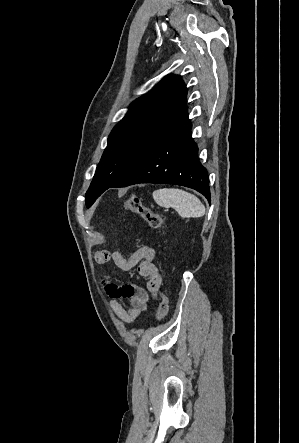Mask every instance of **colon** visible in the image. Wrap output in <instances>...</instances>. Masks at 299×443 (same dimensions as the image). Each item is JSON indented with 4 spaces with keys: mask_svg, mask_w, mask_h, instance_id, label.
Listing matches in <instances>:
<instances>
[{
    "mask_svg": "<svg viewBox=\"0 0 299 443\" xmlns=\"http://www.w3.org/2000/svg\"><path fill=\"white\" fill-rule=\"evenodd\" d=\"M121 208L132 214H135L145 220L151 228L160 229L164 227V221L162 217L146 207L142 199L135 194L129 195L121 204ZM168 312L167 298L160 293L159 294V308L156 319L161 321Z\"/></svg>",
    "mask_w": 299,
    "mask_h": 443,
    "instance_id": "5ec220e1",
    "label": "colon"
}]
</instances>
